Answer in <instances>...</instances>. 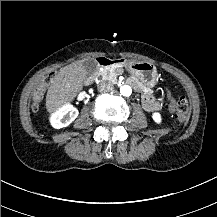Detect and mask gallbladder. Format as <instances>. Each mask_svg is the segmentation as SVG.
Wrapping results in <instances>:
<instances>
[{
  "mask_svg": "<svg viewBox=\"0 0 217 217\" xmlns=\"http://www.w3.org/2000/svg\"><path fill=\"white\" fill-rule=\"evenodd\" d=\"M81 68H86V70L90 73H95L98 70V64L96 63L95 59L91 58L86 60L85 62L81 63Z\"/></svg>",
  "mask_w": 217,
  "mask_h": 217,
  "instance_id": "gallbladder-1",
  "label": "gallbladder"
}]
</instances>
